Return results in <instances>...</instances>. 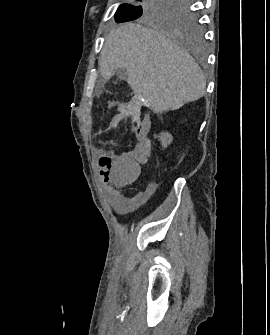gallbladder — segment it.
<instances>
[{
    "instance_id": "bac80fb5",
    "label": "gallbladder",
    "mask_w": 270,
    "mask_h": 335,
    "mask_svg": "<svg viewBox=\"0 0 270 335\" xmlns=\"http://www.w3.org/2000/svg\"><path fill=\"white\" fill-rule=\"evenodd\" d=\"M117 76L118 78H121V80H127L126 68H119V70H117Z\"/></svg>"
}]
</instances>
